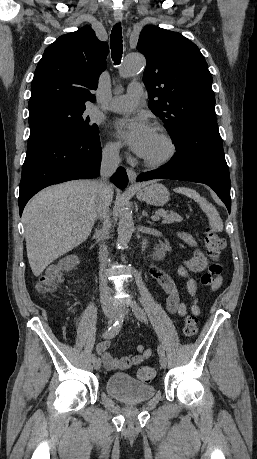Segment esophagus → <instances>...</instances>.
I'll use <instances>...</instances> for the list:
<instances>
[{
  "label": "esophagus",
  "mask_w": 257,
  "mask_h": 459,
  "mask_svg": "<svg viewBox=\"0 0 257 459\" xmlns=\"http://www.w3.org/2000/svg\"><path fill=\"white\" fill-rule=\"evenodd\" d=\"M113 16H114V19H115L116 22H120L122 20V18H123V14L119 10L114 11ZM127 175H128L129 182L131 183V185L132 186H136L137 185V183H136V177H137L136 172L132 168H127Z\"/></svg>",
  "instance_id": "esophagus-1"
}]
</instances>
